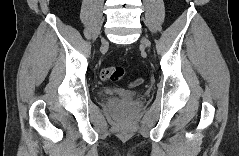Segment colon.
<instances>
[{"instance_id": "obj_1", "label": "colon", "mask_w": 239, "mask_h": 156, "mask_svg": "<svg viewBox=\"0 0 239 156\" xmlns=\"http://www.w3.org/2000/svg\"><path fill=\"white\" fill-rule=\"evenodd\" d=\"M124 68L121 66L106 67L101 71V77L103 80L118 81L124 75ZM142 82L141 78H138L131 82V86L139 85Z\"/></svg>"}]
</instances>
